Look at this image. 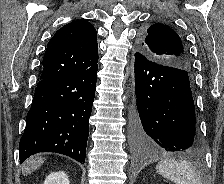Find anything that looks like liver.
Segmentation results:
<instances>
[{
  "label": "liver",
  "mask_w": 224,
  "mask_h": 184,
  "mask_svg": "<svg viewBox=\"0 0 224 184\" xmlns=\"http://www.w3.org/2000/svg\"><path fill=\"white\" fill-rule=\"evenodd\" d=\"M44 163L42 157H31L22 165V174L29 175Z\"/></svg>",
  "instance_id": "liver-1"
}]
</instances>
